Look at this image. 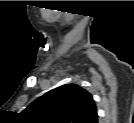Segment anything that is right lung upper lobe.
<instances>
[{
  "label": "right lung upper lobe",
  "mask_w": 134,
  "mask_h": 123,
  "mask_svg": "<svg viewBox=\"0 0 134 123\" xmlns=\"http://www.w3.org/2000/svg\"><path fill=\"white\" fill-rule=\"evenodd\" d=\"M23 116L32 123H97L92 95L76 84L57 87L36 99Z\"/></svg>",
  "instance_id": "obj_1"
}]
</instances>
